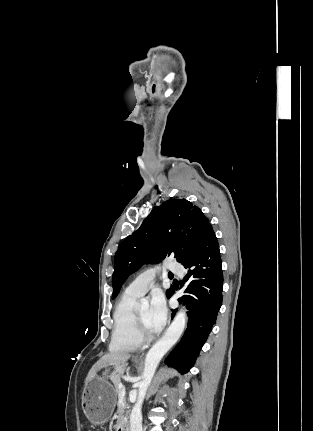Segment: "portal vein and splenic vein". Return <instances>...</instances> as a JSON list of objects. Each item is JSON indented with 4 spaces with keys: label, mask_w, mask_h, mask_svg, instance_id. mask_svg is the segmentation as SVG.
Masks as SVG:
<instances>
[{
    "label": "portal vein and splenic vein",
    "mask_w": 313,
    "mask_h": 431,
    "mask_svg": "<svg viewBox=\"0 0 313 431\" xmlns=\"http://www.w3.org/2000/svg\"><path fill=\"white\" fill-rule=\"evenodd\" d=\"M118 387H119V389H120V391H119V395H125V386H124L122 383H120V384L118 385Z\"/></svg>",
    "instance_id": "portal-vein-and-splenic-vein-1"
}]
</instances>
